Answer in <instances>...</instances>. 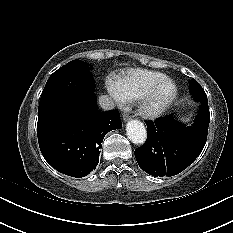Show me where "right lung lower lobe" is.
I'll return each mask as SVG.
<instances>
[{"mask_svg":"<svg viewBox=\"0 0 233 233\" xmlns=\"http://www.w3.org/2000/svg\"><path fill=\"white\" fill-rule=\"evenodd\" d=\"M121 127L119 112L99 111L94 90L83 88L75 95L70 111L38 119L39 147L57 171L81 178L96 168L104 136Z\"/></svg>","mask_w":233,"mask_h":233,"instance_id":"98d812e1","label":"right lung lower lobe"}]
</instances>
